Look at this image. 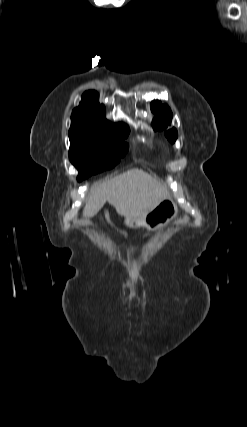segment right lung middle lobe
Instances as JSON below:
<instances>
[{
	"label": "right lung middle lobe",
	"mask_w": 247,
	"mask_h": 427,
	"mask_svg": "<svg viewBox=\"0 0 247 427\" xmlns=\"http://www.w3.org/2000/svg\"><path fill=\"white\" fill-rule=\"evenodd\" d=\"M128 134V127L103 129L71 123L69 159L79 171L78 180L118 164L128 150L122 140Z\"/></svg>",
	"instance_id": "dd1d6c3e"
}]
</instances>
